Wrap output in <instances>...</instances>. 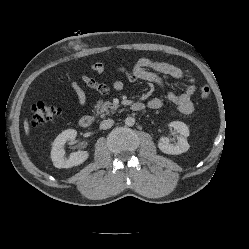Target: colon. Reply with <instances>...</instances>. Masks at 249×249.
<instances>
[{
	"instance_id": "colon-1",
	"label": "colon",
	"mask_w": 249,
	"mask_h": 249,
	"mask_svg": "<svg viewBox=\"0 0 249 249\" xmlns=\"http://www.w3.org/2000/svg\"><path fill=\"white\" fill-rule=\"evenodd\" d=\"M211 94L210 88L203 85L200 89V95L207 99ZM60 114L59 108L42 102L35 103L31 108L30 126L36 128L45 122L56 119Z\"/></svg>"
}]
</instances>
